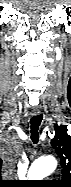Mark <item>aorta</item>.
Here are the masks:
<instances>
[{
	"label": "aorta",
	"instance_id": "762f6f07",
	"mask_svg": "<svg viewBox=\"0 0 71 187\" xmlns=\"http://www.w3.org/2000/svg\"><path fill=\"white\" fill-rule=\"evenodd\" d=\"M57 167V161L52 156L39 158L33 162L28 171L30 180H42Z\"/></svg>",
	"mask_w": 71,
	"mask_h": 187
}]
</instances>
